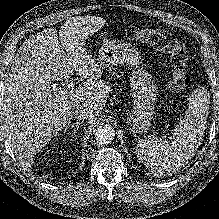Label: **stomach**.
<instances>
[{"label": "stomach", "instance_id": "1", "mask_svg": "<svg viewBox=\"0 0 219 219\" xmlns=\"http://www.w3.org/2000/svg\"><path fill=\"white\" fill-rule=\"evenodd\" d=\"M96 56L101 68L117 65L131 67L130 87L134 105L126 124L133 134L146 132L152 123L158 90L153 77L143 65L139 66V52L124 40H111L102 44Z\"/></svg>", "mask_w": 219, "mask_h": 219}]
</instances>
